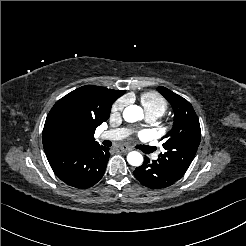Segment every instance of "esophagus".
Masks as SVG:
<instances>
[{"instance_id": "34e87169", "label": "esophagus", "mask_w": 246, "mask_h": 246, "mask_svg": "<svg viewBox=\"0 0 246 246\" xmlns=\"http://www.w3.org/2000/svg\"><path fill=\"white\" fill-rule=\"evenodd\" d=\"M116 150L118 152H122V153H127V152L131 151L130 148H124V147H118Z\"/></svg>"}]
</instances>
